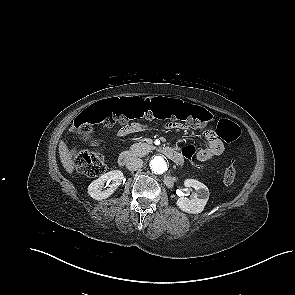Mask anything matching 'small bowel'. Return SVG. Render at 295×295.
I'll return each mask as SVG.
<instances>
[{
	"label": "small bowel",
	"mask_w": 295,
	"mask_h": 295,
	"mask_svg": "<svg viewBox=\"0 0 295 295\" xmlns=\"http://www.w3.org/2000/svg\"><path fill=\"white\" fill-rule=\"evenodd\" d=\"M160 127L168 129H179L182 133L190 137H200L199 131L190 129L183 122L161 121ZM142 129H144V126L142 124L129 123L120 128L117 134L119 137H125ZM203 139L206 145L204 148L199 149L196 154V159L199 162H207L214 157L220 156L224 152L223 143L212 131H206L203 134Z\"/></svg>",
	"instance_id": "small-bowel-1"
}]
</instances>
